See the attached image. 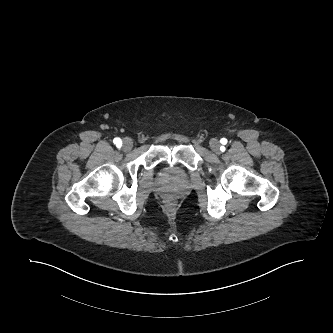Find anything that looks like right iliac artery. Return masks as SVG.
I'll use <instances>...</instances> for the list:
<instances>
[{
	"label": "right iliac artery",
	"mask_w": 333,
	"mask_h": 333,
	"mask_svg": "<svg viewBox=\"0 0 333 333\" xmlns=\"http://www.w3.org/2000/svg\"><path fill=\"white\" fill-rule=\"evenodd\" d=\"M114 144L117 146V147H120L122 145V141L120 138H114L113 140Z\"/></svg>",
	"instance_id": "1"
}]
</instances>
